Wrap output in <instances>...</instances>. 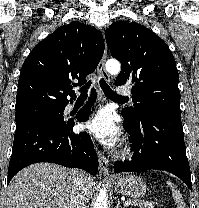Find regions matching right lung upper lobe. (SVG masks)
<instances>
[{"label":"right lung upper lobe","mask_w":199,"mask_h":208,"mask_svg":"<svg viewBox=\"0 0 199 208\" xmlns=\"http://www.w3.org/2000/svg\"><path fill=\"white\" fill-rule=\"evenodd\" d=\"M104 52L102 33L84 23L72 22L57 28L37 44L25 59L16 97L17 109L29 106L64 107L76 96ZM78 80L73 83L72 80Z\"/></svg>","instance_id":"right-lung-upper-lobe-1"}]
</instances>
